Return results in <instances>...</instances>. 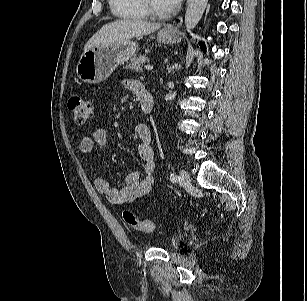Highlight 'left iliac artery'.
<instances>
[{
    "mask_svg": "<svg viewBox=\"0 0 307 301\" xmlns=\"http://www.w3.org/2000/svg\"><path fill=\"white\" fill-rule=\"evenodd\" d=\"M177 179H178V176L175 174V173H171L170 174V181L171 182H176L177 181Z\"/></svg>",
    "mask_w": 307,
    "mask_h": 301,
    "instance_id": "1",
    "label": "left iliac artery"
}]
</instances>
